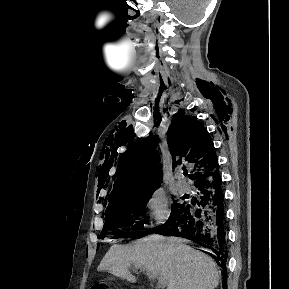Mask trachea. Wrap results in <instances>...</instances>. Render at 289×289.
Returning <instances> with one entry per match:
<instances>
[{"instance_id":"trachea-1","label":"trachea","mask_w":289,"mask_h":289,"mask_svg":"<svg viewBox=\"0 0 289 289\" xmlns=\"http://www.w3.org/2000/svg\"><path fill=\"white\" fill-rule=\"evenodd\" d=\"M188 174V171L184 170V175L186 176Z\"/></svg>"}]
</instances>
